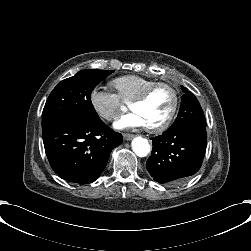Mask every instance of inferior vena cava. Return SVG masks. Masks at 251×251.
<instances>
[{
    "label": "inferior vena cava",
    "mask_w": 251,
    "mask_h": 251,
    "mask_svg": "<svg viewBox=\"0 0 251 251\" xmlns=\"http://www.w3.org/2000/svg\"><path fill=\"white\" fill-rule=\"evenodd\" d=\"M120 117H121L120 114H112V115H111V118H112V119H115V120H116V119H120Z\"/></svg>",
    "instance_id": "obj_1"
}]
</instances>
